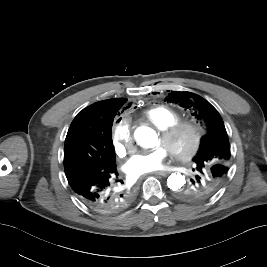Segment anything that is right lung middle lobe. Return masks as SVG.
I'll return each mask as SVG.
<instances>
[{
  "label": "right lung middle lobe",
  "instance_id": "right-lung-middle-lobe-1",
  "mask_svg": "<svg viewBox=\"0 0 267 267\" xmlns=\"http://www.w3.org/2000/svg\"><path fill=\"white\" fill-rule=\"evenodd\" d=\"M115 114L109 118L113 124ZM115 152L111 138V130L102 141L94 133L82 125L70 126L64 145V169L66 177L88 168L99 170L115 165Z\"/></svg>",
  "mask_w": 267,
  "mask_h": 267
}]
</instances>
